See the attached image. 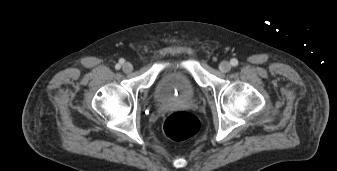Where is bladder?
Here are the masks:
<instances>
[{
    "mask_svg": "<svg viewBox=\"0 0 337 171\" xmlns=\"http://www.w3.org/2000/svg\"><path fill=\"white\" fill-rule=\"evenodd\" d=\"M196 94L194 81L188 73L180 69L164 70L154 89V98L160 103H168L175 99L191 100Z\"/></svg>",
    "mask_w": 337,
    "mask_h": 171,
    "instance_id": "1",
    "label": "bladder"
}]
</instances>
